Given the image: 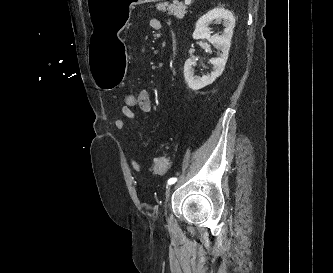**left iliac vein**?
<instances>
[{
    "instance_id": "obj_1",
    "label": "left iliac vein",
    "mask_w": 333,
    "mask_h": 273,
    "mask_svg": "<svg viewBox=\"0 0 333 273\" xmlns=\"http://www.w3.org/2000/svg\"><path fill=\"white\" fill-rule=\"evenodd\" d=\"M170 195H171V187L169 186L165 190V206H164L165 207V215L167 214V210H166V208H167V201L169 200Z\"/></svg>"
}]
</instances>
